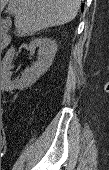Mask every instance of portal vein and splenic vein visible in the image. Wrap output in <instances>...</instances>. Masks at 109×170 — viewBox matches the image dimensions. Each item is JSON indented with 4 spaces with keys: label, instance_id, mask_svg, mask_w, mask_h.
Here are the masks:
<instances>
[{
    "label": "portal vein and splenic vein",
    "instance_id": "portal-vein-and-splenic-vein-1",
    "mask_svg": "<svg viewBox=\"0 0 109 170\" xmlns=\"http://www.w3.org/2000/svg\"><path fill=\"white\" fill-rule=\"evenodd\" d=\"M10 14H17V9L16 8H13L12 6H11V8L9 7L8 8V10H7Z\"/></svg>",
    "mask_w": 109,
    "mask_h": 170
}]
</instances>
